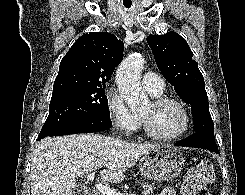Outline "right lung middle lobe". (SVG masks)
<instances>
[{
    "mask_svg": "<svg viewBox=\"0 0 245 195\" xmlns=\"http://www.w3.org/2000/svg\"><path fill=\"white\" fill-rule=\"evenodd\" d=\"M96 116L110 118L105 87L70 88L53 92L49 115L39 137L44 138L64 127Z\"/></svg>",
    "mask_w": 245,
    "mask_h": 195,
    "instance_id": "right-lung-middle-lobe-1",
    "label": "right lung middle lobe"
}]
</instances>
